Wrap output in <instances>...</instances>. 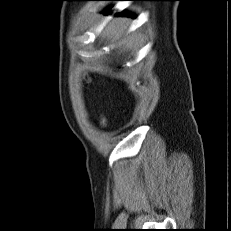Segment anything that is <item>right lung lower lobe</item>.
<instances>
[{
  "mask_svg": "<svg viewBox=\"0 0 231 231\" xmlns=\"http://www.w3.org/2000/svg\"><path fill=\"white\" fill-rule=\"evenodd\" d=\"M106 1H115V0H106ZM105 13H108V11H105Z\"/></svg>",
  "mask_w": 231,
  "mask_h": 231,
  "instance_id": "right-lung-lower-lobe-1",
  "label": "right lung lower lobe"
}]
</instances>
